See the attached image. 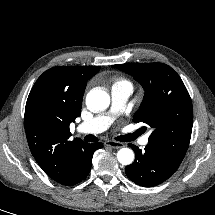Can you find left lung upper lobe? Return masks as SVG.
<instances>
[{
    "label": "left lung upper lobe",
    "mask_w": 215,
    "mask_h": 215,
    "mask_svg": "<svg viewBox=\"0 0 215 215\" xmlns=\"http://www.w3.org/2000/svg\"><path fill=\"white\" fill-rule=\"evenodd\" d=\"M112 67L133 75L145 90L133 121L144 122L153 128L148 143L182 161L191 138L193 108L180 76L170 66L161 63L117 64Z\"/></svg>",
    "instance_id": "5c2ea615"
}]
</instances>
